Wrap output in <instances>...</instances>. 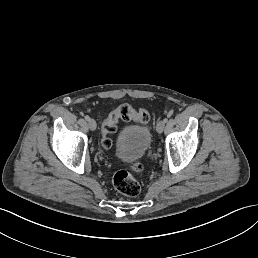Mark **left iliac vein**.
Listing matches in <instances>:
<instances>
[{"label": "left iliac vein", "instance_id": "obj_1", "mask_svg": "<svg viewBox=\"0 0 258 258\" xmlns=\"http://www.w3.org/2000/svg\"><path fill=\"white\" fill-rule=\"evenodd\" d=\"M165 125L166 124H165L164 120H159V122L156 126L157 127V129H156L157 132L161 134L165 130V127H166Z\"/></svg>", "mask_w": 258, "mask_h": 258}]
</instances>
